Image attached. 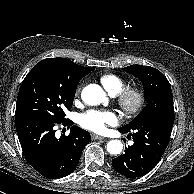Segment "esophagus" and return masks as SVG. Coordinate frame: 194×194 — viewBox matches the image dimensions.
Here are the masks:
<instances>
[{
  "instance_id": "34e87169",
  "label": "esophagus",
  "mask_w": 194,
  "mask_h": 194,
  "mask_svg": "<svg viewBox=\"0 0 194 194\" xmlns=\"http://www.w3.org/2000/svg\"><path fill=\"white\" fill-rule=\"evenodd\" d=\"M91 139L92 140H104L105 138L103 136H99L96 134H91Z\"/></svg>"
}]
</instances>
